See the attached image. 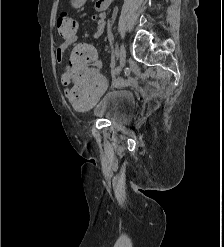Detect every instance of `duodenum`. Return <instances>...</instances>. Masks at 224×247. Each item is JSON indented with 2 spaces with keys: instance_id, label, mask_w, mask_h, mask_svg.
Masks as SVG:
<instances>
[{
  "instance_id": "obj_1",
  "label": "duodenum",
  "mask_w": 224,
  "mask_h": 247,
  "mask_svg": "<svg viewBox=\"0 0 224 247\" xmlns=\"http://www.w3.org/2000/svg\"><path fill=\"white\" fill-rule=\"evenodd\" d=\"M112 0H98V9L104 11L111 4Z\"/></svg>"
}]
</instances>
